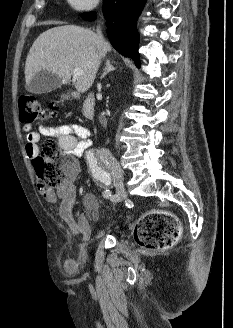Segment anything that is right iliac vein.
Wrapping results in <instances>:
<instances>
[{
    "instance_id": "63e3f726",
    "label": "right iliac vein",
    "mask_w": 233,
    "mask_h": 328,
    "mask_svg": "<svg viewBox=\"0 0 233 328\" xmlns=\"http://www.w3.org/2000/svg\"><path fill=\"white\" fill-rule=\"evenodd\" d=\"M103 156L109 163L111 170H112V176L114 180V185L116 188V194L110 198L111 203L116 204L123 200L126 197V191L123 184V172L121 169V166L115 156L112 154V152L108 149L102 150Z\"/></svg>"
}]
</instances>
